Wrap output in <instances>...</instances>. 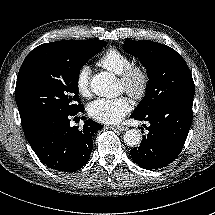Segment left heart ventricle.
<instances>
[{"instance_id":"b2bd125f","label":"left heart ventricle","mask_w":215,"mask_h":215,"mask_svg":"<svg viewBox=\"0 0 215 215\" xmlns=\"http://www.w3.org/2000/svg\"><path fill=\"white\" fill-rule=\"evenodd\" d=\"M120 87L123 90V84L119 81Z\"/></svg>"}]
</instances>
